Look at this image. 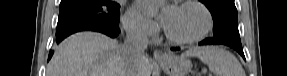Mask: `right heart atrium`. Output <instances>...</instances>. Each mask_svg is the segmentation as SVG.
Segmentation results:
<instances>
[{
  "instance_id": "obj_1",
  "label": "right heart atrium",
  "mask_w": 287,
  "mask_h": 76,
  "mask_svg": "<svg viewBox=\"0 0 287 76\" xmlns=\"http://www.w3.org/2000/svg\"><path fill=\"white\" fill-rule=\"evenodd\" d=\"M126 30L137 37L147 38L157 32V25L135 9H129L123 19Z\"/></svg>"
}]
</instances>
